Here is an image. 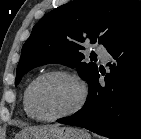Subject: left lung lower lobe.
<instances>
[{
	"instance_id": "left-lung-lower-lobe-1",
	"label": "left lung lower lobe",
	"mask_w": 141,
	"mask_h": 139,
	"mask_svg": "<svg viewBox=\"0 0 141 139\" xmlns=\"http://www.w3.org/2000/svg\"><path fill=\"white\" fill-rule=\"evenodd\" d=\"M106 49L112 63L105 84H99L97 70L89 82L85 105L57 122L112 139H141V23Z\"/></svg>"
}]
</instances>
